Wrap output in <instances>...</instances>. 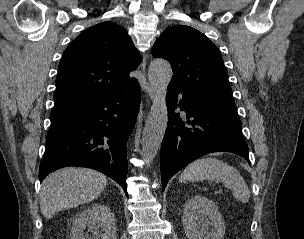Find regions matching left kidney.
Segmentation results:
<instances>
[{"label":"left kidney","mask_w":304,"mask_h":239,"mask_svg":"<svg viewBox=\"0 0 304 239\" xmlns=\"http://www.w3.org/2000/svg\"><path fill=\"white\" fill-rule=\"evenodd\" d=\"M182 222L188 239H224L223 217L213 201L206 197L196 195L187 202Z\"/></svg>","instance_id":"5707ae66"}]
</instances>
